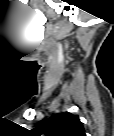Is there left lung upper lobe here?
<instances>
[{
  "mask_svg": "<svg viewBox=\"0 0 114 136\" xmlns=\"http://www.w3.org/2000/svg\"><path fill=\"white\" fill-rule=\"evenodd\" d=\"M33 132L37 135L46 134L48 136H83L84 127L77 115L66 112L48 118Z\"/></svg>",
  "mask_w": 114,
  "mask_h": 136,
  "instance_id": "5c2ea615",
  "label": "left lung upper lobe"
}]
</instances>
